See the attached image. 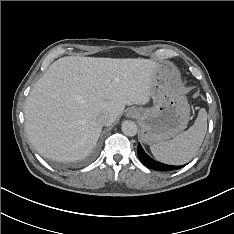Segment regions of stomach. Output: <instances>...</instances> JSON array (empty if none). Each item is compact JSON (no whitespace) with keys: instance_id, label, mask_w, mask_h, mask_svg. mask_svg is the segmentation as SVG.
<instances>
[{"instance_id":"stomach-1","label":"stomach","mask_w":234,"mask_h":234,"mask_svg":"<svg viewBox=\"0 0 234 234\" xmlns=\"http://www.w3.org/2000/svg\"><path fill=\"white\" fill-rule=\"evenodd\" d=\"M150 93L153 106L141 109L138 117L141 139L147 144H159L176 137L187 127L190 108L176 74L164 65H157Z\"/></svg>"}]
</instances>
